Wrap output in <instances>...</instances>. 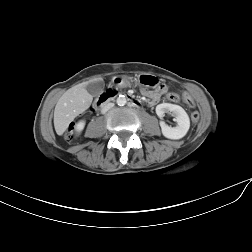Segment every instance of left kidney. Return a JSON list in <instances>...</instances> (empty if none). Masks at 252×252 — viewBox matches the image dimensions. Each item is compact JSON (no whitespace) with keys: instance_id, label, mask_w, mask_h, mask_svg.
Segmentation results:
<instances>
[{"instance_id":"left-kidney-1","label":"left kidney","mask_w":252,"mask_h":252,"mask_svg":"<svg viewBox=\"0 0 252 252\" xmlns=\"http://www.w3.org/2000/svg\"><path fill=\"white\" fill-rule=\"evenodd\" d=\"M165 113H171L175 117L177 125L175 127L168 126L163 121L160 122L162 134L169 139L183 138L190 127V119L185 110L175 104L162 103L156 106V114L159 118L164 117Z\"/></svg>"}]
</instances>
